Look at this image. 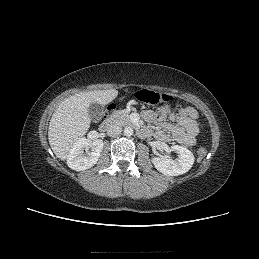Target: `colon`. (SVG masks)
I'll list each match as a JSON object with an SVG mask.
<instances>
[{"label":"colon","mask_w":259,"mask_h":259,"mask_svg":"<svg viewBox=\"0 0 259 259\" xmlns=\"http://www.w3.org/2000/svg\"><path fill=\"white\" fill-rule=\"evenodd\" d=\"M135 97L138 101L149 104V105H156L160 104L166 108H174L177 111L182 109V106L176 104L175 106L172 105V97L168 94L158 93L152 90L142 89L136 92ZM113 110L112 106L107 108V113H111ZM207 155V150L205 148H200L197 151V156L199 159H204Z\"/></svg>","instance_id":"5ec220e1"}]
</instances>
